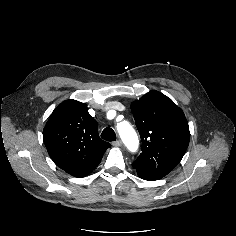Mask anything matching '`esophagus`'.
<instances>
[{
    "label": "esophagus",
    "instance_id": "1",
    "mask_svg": "<svg viewBox=\"0 0 236 236\" xmlns=\"http://www.w3.org/2000/svg\"><path fill=\"white\" fill-rule=\"evenodd\" d=\"M112 145L115 147H120L122 145V141L120 139H118V140L114 141L112 143Z\"/></svg>",
    "mask_w": 236,
    "mask_h": 236
}]
</instances>
